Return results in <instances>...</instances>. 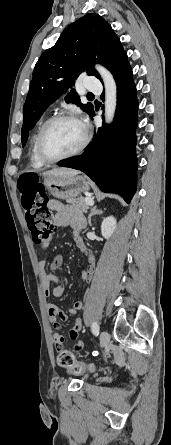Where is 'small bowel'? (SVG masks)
Listing matches in <instances>:
<instances>
[{
	"label": "small bowel",
	"instance_id": "1",
	"mask_svg": "<svg viewBox=\"0 0 171 445\" xmlns=\"http://www.w3.org/2000/svg\"><path fill=\"white\" fill-rule=\"evenodd\" d=\"M48 207L55 211L54 223L58 227L70 226L72 228L75 241L82 254L86 257L87 268L81 270V277L84 281L89 282L91 280V273L95 265V257L91 251L85 246L81 235L82 230L86 226V220L82 214L76 211H72L66 208L61 202L57 200H50ZM62 264V256L56 255L53 261L48 265L46 261H40L38 269L40 273V281L43 288V293L46 297L53 295L54 297H62L65 293L66 283L62 280L55 271L60 268ZM83 308V301L81 299L76 300L69 309L70 314H77ZM47 314L52 326L55 329L60 328V321H66L67 315L52 303L46 305ZM82 328L81 319H76L74 325L69 330L70 339L75 341L74 348L81 350L83 348V342L80 340V331ZM54 343L56 347H60L64 343V337L59 333L53 335Z\"/></svg>",
	"mask_w": 171,
	"mask_h": 445
}]
</instances>
